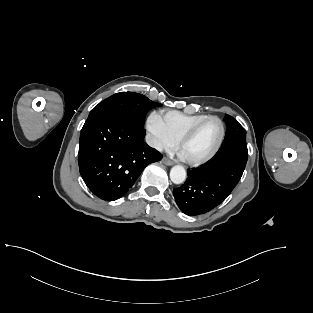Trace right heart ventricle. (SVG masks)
Returning <instances> with one entry per match:
<instances>
[{"mask_svg":"<svg viewBox=\"0 0 313 313\" xmlns=\"http://www.w3.org/2000/svg\"><path fill=\"white\" fill-rule=\"evenodd\" d=\"M158 116L163 128L175 142L188 128L207 117V115H190L178 111H163Z\"/></svg>","mask_w":313,"mask_h":313,"instance_id":"obj_1","label":"right heart ventricle"}]
</instances>
